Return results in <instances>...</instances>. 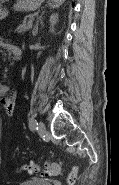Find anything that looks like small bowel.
Segmentation results:
<instances>
[{"instance_id": "c3829d8e", "label": "small bowel", "mask_w": 119, "mask_h": 185, "mask_svg": "<svg viewBox=\"0 0 119 185\" xmlns=\"http://www.w3.org/2000/svg\"><path fill=\"white\" fill-rule=\"evenodd\" d=\"M0 48H1V50H4V51L13 52L16 47L6 41H2L0 44ZM8 92H9L8 86L0 85V93L2 95L1 103L6 111L7 115L11 116L13 113V110L15 108L16 98L13 94L6 96V94Z\"/></svg>"}]
</instances>
